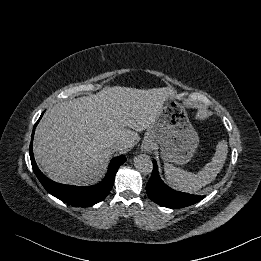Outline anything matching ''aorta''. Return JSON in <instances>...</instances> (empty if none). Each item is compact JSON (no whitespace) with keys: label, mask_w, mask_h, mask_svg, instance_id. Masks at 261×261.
I'll list each match as a JSON object with an SVG mask.
<instances>
[{"label":"aorta","mask_w":261,"mask_h":261,"mask_svg":"<svg viewBox=\"0 0 261 261\" xmlns=\"http://www.w3.org/2000/svg\"><path fill=\"white\" fill-rule=\"evenodd\" d=\"M135 168L142 174H150L153 169V164L148 155L140 154L134 159Z\"/></svg>","instance_id":"obj_1"}]
</instances>
